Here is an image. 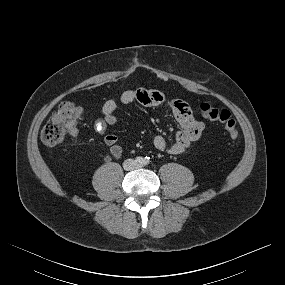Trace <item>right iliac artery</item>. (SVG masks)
<instances>
[{"label":"right iliac artery","mask_w":285,"mask_h":285,"mask_svg":"<svg viewBox=\"0 0 285 285\" xmlns=\"http://www.w3.org/2000/svg\"><path fill=\"white\" fill-rule=\"evenodd\" d=\"M143 160H144V158H142V157H137V158L135 159V162H136L137 164H142V163H143Z\"/></svg>","instance_id":"obj_1"}]
</instances>
